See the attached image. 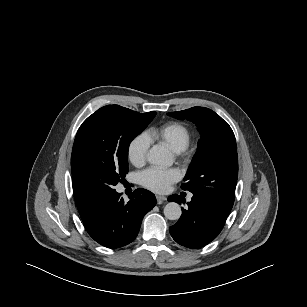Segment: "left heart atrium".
<instances>
[{"mask_svg": "<svg viewBox=\"0 0 307 307\" xmlns=\"http://www.w3.org/2000/svg\"><path fill=\"white\" fill-rule=\"evenodd\" d=\"M181 177L177 169H161L150 167L139 174V182L145 188L154 192L163 193L172 183Z\"/></svg>", "mask_w": 307, "mask_h": 307, "instance_id": "1", "label": "left heart atrium"}]
</instances>
